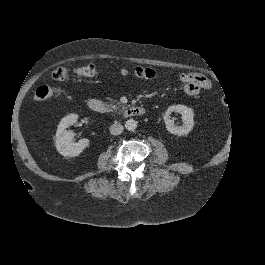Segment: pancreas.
Here are the masks:
<instances>
[{
  "mask_svg": "<svg viewBox=\"0 0 265 265\" xmlns=\"http://www.w3.org/2000/svg\"><path fill=\"white\" fill-rule=\"evenodd\" d=\"M108 100L110 101V104L108 105V109L109 111L111 110H118V109H126V106L123 105L121 102H118L117 100H113L111 98H108Z\"/></svg>",
  "mask_w": 265,
  "mask_h": 265,
  "instance_id": "cf45deb5",
  "label": "pancreas"
}]
</instances>
